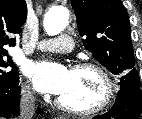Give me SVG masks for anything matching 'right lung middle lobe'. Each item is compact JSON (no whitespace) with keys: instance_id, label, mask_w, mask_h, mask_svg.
<instances>
[{"instance_id":"dd1d6c3e","label":"right lung middle lobe","mask_w":142,"mask_h":119,"mask_svg":"<svg viewBox=\"0 0 142 119\" xmlns=\"http://www.w3.org/2000/svg\"><path fill=\"white\" fill-rule=\"evenodd\" d=\"M19 81L17 67L7 50H0V88H9Z\"/></svg>"}]
</instances>
